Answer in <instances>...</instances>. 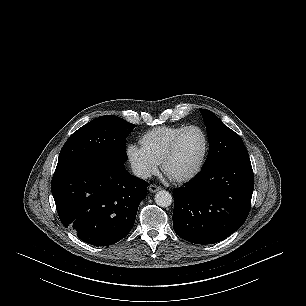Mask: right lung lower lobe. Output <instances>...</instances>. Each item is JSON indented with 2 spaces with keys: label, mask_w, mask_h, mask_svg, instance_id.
<instances>
[{
  "label": "right lung lower lobe",
  "mask_w": 306,
  "mask_h": 306,
  "mask_svg": "<svg viewBox=\"0 0 306 306\" xmlns=\"http://www.w3.org/2000/svg\"><path fill=\"white\" fill-rule=\"evenodd\" d=\"M147 187L123 161H81L55 171L51 183L63 225L96 246L114 244L130 232Z\"/></svg>",
  "instance_id": "obj_1"
}]
</instances>
